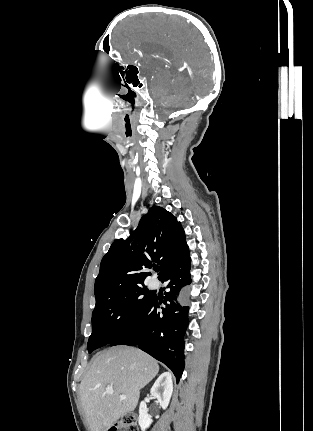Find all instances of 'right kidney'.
<instances>
[{"instance_id":"ca27d5eb","label":"right kidney","mask_w":313,"mask_h":431,"mask_svg":"<svg viewBox=\"0 0 313 431\" xmlns=\"http://www.w3.org/2000/svg\"><path fill=\"white\" fill-rule=\"evenodd\" d=\"M172 392L173 381L172 375L169 372L162 373L150 390L151 395L157 399L163 409L168 407ZM138 422L141 431H145L152 423V418L148 414V408L144 401H142L139 406Z\"/></svg>"}]
</instances>
